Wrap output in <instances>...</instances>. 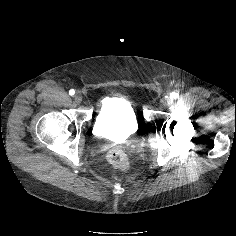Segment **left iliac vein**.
<instances>
[{
  "instance_id": "obj_1",
  "label": "left iliac vein",
  "mask_w": 236,
  "mask_h": 236,
  "mask_svg": "<svg viewBox=\"0 0 236 236\" xmlns=\"http://www.w3.org/2000/svg\"><path fill=\"white\" fill-rule=\"evenodd\" d=\"M171 101H172V99L171 98H163V99H161V105H163V106H168L170 103H171Z\"/></svg>"
}]
</instances>
